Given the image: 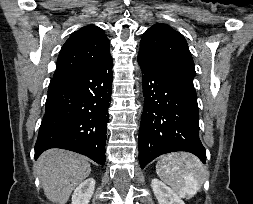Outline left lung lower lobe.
Returning a JSON list of instances; mask_svg holds the SVG:
<instances>
[{"label": "left lung lower lobe", "mask_w": 253, "mask_h": 204, "mask_svg": "<svg viewBox=\"0 0 253 204\" xmlns=\"http://www.w3.org/2000/svg\"><path fill=\"white\" fill-rule=\"evenodd\" d=\"M145 107L138 148L141 168L159 155L187 151L205 163L199 139V112L193 81L159 68L138 56Z\"/></svg>", "instance_id": "left-lung-lower-lobe-1"}]
</instances>
